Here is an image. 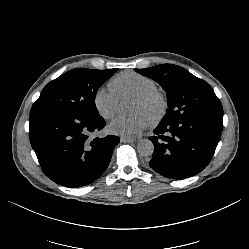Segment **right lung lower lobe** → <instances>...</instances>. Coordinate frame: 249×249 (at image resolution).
Returning a JSON list of instances; mask_svg holds the SVG:
<instances>
[{
    "label": "right lung lower lobe",
    "mask_w": 249,
    "mask_h": 249,
    "mask_svg": "<svg viewBox=\"0 0 249 249\" xmlns=\"http://www.w3.org/2000/svg\"><path fill=\"white\" fill-rule=\"evenodd\" d=\"M29 122L30 142L44 174L66 187L95 181L108 167L120 142L114 135L91 141L90 134L106 124L101 116L49 111L30 115Z\"/></svg>",
    "instance_id": "right-lung-lower-lobe-1"
}]
</instances>
